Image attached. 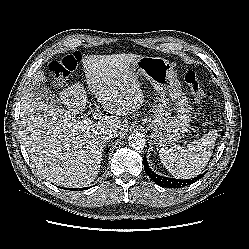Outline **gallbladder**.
Returning a JSON list of instances; mask_svg holds the SVG:
<instances>
[{
	"label": "gallbladder",
	"instance_id": "gallbladder-1",
	"mask_svg": "<svg viewBox=\"0 0 249 249\" xmlns=\"http://www.w3.org/2000/svg\"><path fill=\"white\" fill-rule=\"evenodd\" d=\"M29 89L33 95L39 98L41 101L58 108H63L64 105L62 101L57 98L46 85L40 82H32L29 85Z\"/></svg>",
	"mask_w": 249,
	"mask_h": 249
}]
</instances>
